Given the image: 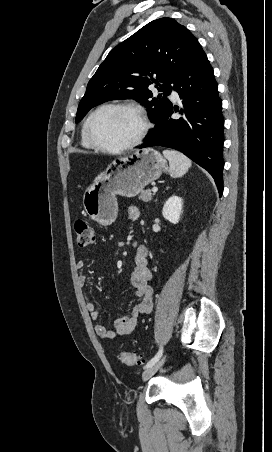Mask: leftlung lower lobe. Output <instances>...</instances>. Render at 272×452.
I'll list each match as a JSON object with an SVG mask.
<instances>
[{
  "mask_svg": "<svg viewBox=\"0 0 272 452\" xmlns=\"http://www.w3.org/2000/svg\"><path fill=\"white\" fill-rule=\"evenodd\" d=\"M173 84L183 107H173L170 102L139 148L165 146L183 152L212 175L221 196L224 168L222 101L213 69L199 42ZM174 112L181 117L172 119L170 116Z\"/></svg>",
  "mask_w": 272,
  "mask_h": 452,
  "instance_id": "obj_1",
  "label": "left lung lower lobe"
}]
</instances>
